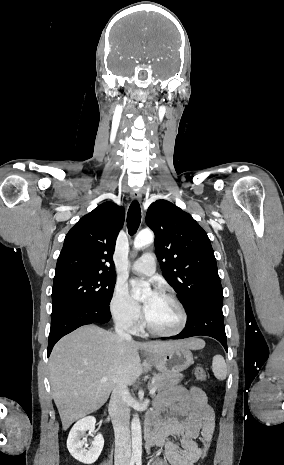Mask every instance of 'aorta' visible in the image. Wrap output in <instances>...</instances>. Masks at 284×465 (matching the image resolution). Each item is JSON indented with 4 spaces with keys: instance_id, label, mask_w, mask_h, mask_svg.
I'll return each instance as SVG.
<instances>
[{
    "instance_id": "aorta-1",
    "label": "aorta",
    "mask_w": 284,
    "mask_h": 465,
    "mask_svg": "<svg viewBox=\"0 0 284 465\" xmlns=\"http://www.w3.org/2000/svg\"><path fill=\"white\" fill-rule=\"evenodd\" d=\"M154 241V235L149 230H144L138 233L134 239V249L139 250L142 247L151 244ZM150 292V289H143L142 297ZM131 432H132V457L134 459H140L142 455V433H141V424L138 414L133 416L131 422Z\"/></svg>"
}]
</instances>
